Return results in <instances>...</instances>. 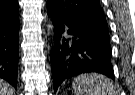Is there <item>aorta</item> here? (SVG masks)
Returning <instances> with one entry per match:
<instances>
[{
    "label": "aorta",
    "instance_id": "762f6f07",
    "mask_svg": "<svg viewBox=\"0 0 135 95\" xmlns=\"http://www.w3.org/2000/svg\"><path fill=\"white\" fill-rule=\"evenodd\" d=\"M47 33L49 35H53V33H54V26L51 21H49V23L47 24Z\"/></svg>",
    "mask_w": 135,
    "mask_h": 95
}]
</instances>
